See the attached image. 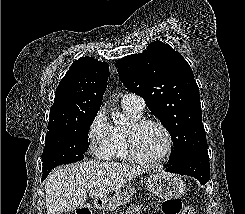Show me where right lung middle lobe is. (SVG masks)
Masks as SVG:
<instances>
[{
	"label": "right lung middle lobe",
	"mask_w": 245,
	"mask_h": 214,
	"mask_svg": "<svg viewBox=\"0 0 245 214\" xmlns=\"http://www.w3.org/2000/svg\"><path fill=\"white\" fill-rule=\"evenodd\" d=\"M98 111L83 114L71 127L46 135L43 150V177L62 164L81 161L89 148L88 132Z\"/></svg>",
	"instance_id": "obj_1"
}]
</instances>
